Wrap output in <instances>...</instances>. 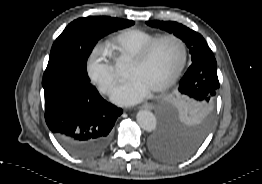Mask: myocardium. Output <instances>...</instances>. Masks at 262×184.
Instances as JSON below:
<instances>
[{
  "label": "myocardium",
  "instance_id": "1",
  "mask_svg": "<svg viewBox=\"0 0 262 184\" xmlns=\"http://www.w3.org/2000/svg\"><path fill=\"white\" fill-rule=\"evenodd\" d=\"M165 40H174L179 43L182 48V60L176 71L169 77L164 83L152 89L153 92H162L170 88L181 76L188 61V47L186 42L179 36L174 34L162 35L147 44L142 50H140L132 59L131 62L135 64H143L150 57L156 46Z\"/></svg>",
  "mask_w": 262,
  "mask_h": 184
}]
</instances>
